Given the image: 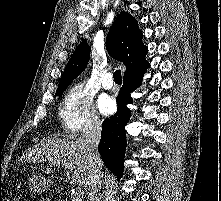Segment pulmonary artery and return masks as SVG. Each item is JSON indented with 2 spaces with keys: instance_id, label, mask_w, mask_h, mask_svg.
<instances>
[{
  "instance_id": "e3ab8cb5",
  "label": "pulmonary artery",
  "mask_w": 221,
  "mask_h": 201,
  "mask_svg": "<svg viewBox=\"0 0 221 201\" xmlns=\"http://www.w3.org/2000/svg\"><path fill=\"white\" fill-rule=\"evenodd\" d=\"M102 86L105 89H111L113 87V80H112V74L111 73L105 74V76L102 80Z\"/></svg>"
}]
</instances>
